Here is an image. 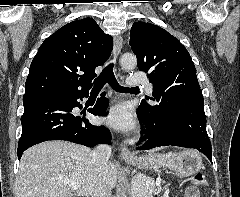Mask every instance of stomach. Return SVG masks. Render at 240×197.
Here are the masks:
<instances>
[{
	"mask_svg": "<svg viewBox=\"0 0 240 197\" xmlns=\"http://www.w3.org/2000/svg\"><path fill=\"white\" fill-rule=\"evenodd\" d=\"M131 165L140 169H149L157 166H166L178 177H187L200 171L202 158L199 153L187 150L179 153L160 155L149 153L128 161Z\"/></svg>",
	"mask_w": 240,
	"mask_h": 197,
	"instance_id": "obj_1",
	"label": "stomach"
}]
</instances>
